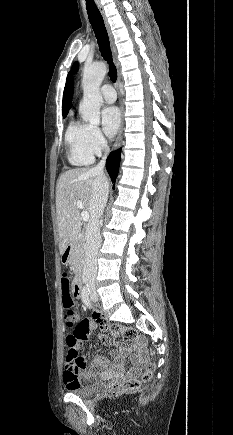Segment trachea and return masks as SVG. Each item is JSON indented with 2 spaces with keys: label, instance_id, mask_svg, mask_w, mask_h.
Returning a JSON list of instances; mask_svg holds the SVG:
<instances>
[{
  "label": "trachea",
  "instance_id": "obj_1",
  "mask_svg": "<svg viewBox=\"0 0 233 435\" xmlns=\"http://www.w3.org/2000/svg\"><path fill=\"white\" fill-rule=\"evenodd\" d=\"M86 9L89 21L97 38L101 55L109 64V77L111 81L115 83L117 79V70L112 60L108 33L102 15L94 0H86Z\"/></svg>",
  "mask_w": 233,
  "mask_h": 435
}]
</instances>
